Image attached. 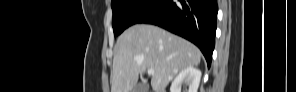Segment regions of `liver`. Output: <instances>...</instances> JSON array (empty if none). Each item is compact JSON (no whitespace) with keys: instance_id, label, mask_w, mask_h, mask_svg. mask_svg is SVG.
<instances>
[{"instance_id":"1","label":"liver","mask_w":296,"mask_h":92,"mask_svg":"<svg viewBox=\"0 0 296 92\" xmlns=\"http://www.w3.org/2000/svg\"><path fill=\"white\" fill-rule=\"evenodd\" d=\"M115 48L111 92H131L139 74L147 69H154L151 75L154 92H164L179 71L199 65L202 55L189 41L146 24L125 30Z\"/></svg>"}]
</instances>
